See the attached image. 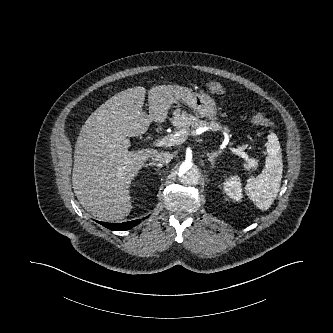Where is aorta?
<instances>
[{"label": "aorta", "mask_w": 333, "mask_h": 333, "mask_svg": "<svg viewBox=\"0 0 333 333\" xmlns=\"http://www.w3.org/2000/svg\"><path fill=\"white\" fill-rule=\"evenodd\" d=\"M177 170L182 183L190 186L198 184L200 171L192 162L188 160L180 161Z\"/></svg>", "instance_id": "762f6f07"}]
</instances>
